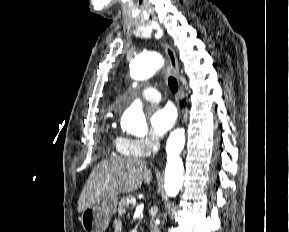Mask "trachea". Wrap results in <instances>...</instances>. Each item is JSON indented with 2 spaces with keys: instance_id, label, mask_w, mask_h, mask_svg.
<instances>
[{
  "instance_id": "trachea-1",
  "label": "trachea",
  "mask_w": 289,
  "mask_h": 232,
  "mask_svg": "<svg viewBox=\"0 0 289 232\" xmlns=\"http://www.w3.org/2000/svg\"><path fill=\"white\" fill-rule=\"evenodd\" d=\"M168 85H169L170 90H171L173 93L177 92V90H178V83H177V80H176L174 77L169 76V78H168Z\"/></svg>"
}]
</instances>
